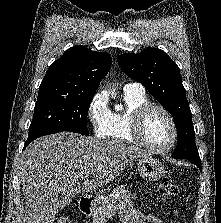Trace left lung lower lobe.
<instances>
[{
  "mask_svg": "<svg viewBox=\"0 0 221 223\" xmlns=\"http://www.w3.org/2000/svg\"><path fill=\"white\" fill-rule=\"evenodd\" d=\"M194 163L200 170H201V161L200 160H193V159H187Z\"/></svg>",
  "mask_w": 221,
  "mask_h": 223,
  "instance_id": "0a47b994",
  "label": "left lung lower lobe"
}]
</instances>
